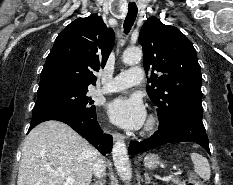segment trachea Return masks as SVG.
<instances>
[{
    "mask_svg": "<svg viewBox=\"0 0 233 185\" xmlns=\"http://www.w3.org/2000/svg\"><path fill=\"white\" fill-rule=\"evenodd\" d=\"M137 11H138V9H137V6L135 3H130L128 5V13H127V16L124 20L125 33H128L131 30V28L135 22V19L137 17Z\"/></svg>",
    "mask_w": 233,
    "mask_h": 185,
    "instance_id": "3493384b",
    "label": "trachea"
}]
</instances>
